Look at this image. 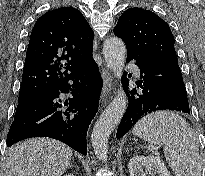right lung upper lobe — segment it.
Segmentation results:
<instances>
[{"instance_id":"obj_1","label":"right lung upper lobe","mask_w":205,"mask_h":176,"mask_svg":"<svg viewBox=\"0 0 205 176\" xmlns=\"http://www.w3.org/2000/svg\"><path fill=\"white\" fill-rule=\"evenodd\" d=\"M94 32L80 11H49L31 32L18 99L35 97L92 58Z\"/></svg>"}]
</instances>
